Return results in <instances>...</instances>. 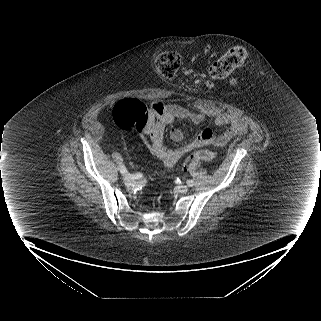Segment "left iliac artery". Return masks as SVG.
I'll return each mask as SVG.
<instances>
[{
  "instance_id": "1",
  "label": "left iliac artery",
  "mask_w": 321,
  "mask_h": 321,
  "mask_svg": "<svg viewBox=\"0 0 321 321\" xmlns=\"http://www.w3.org/2000/svg\"><path fill=\"white\" fill-rule=\"evenodd\" d=\"M187 185H188L189 187H192V186L194 185L193 180H188V181H187Z\"/></svg>"
}]
</instances>
